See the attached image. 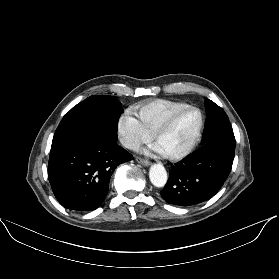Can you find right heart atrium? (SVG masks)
<instances>
[{
  "label": "right heart atrium",
  "instance_id": "obj_1",
  "mask_svg": "<svg viewBox=\"0 0 279 279\" xmlns=\"http://www.w3.org/2000/svg\"><path fill=\"white\" fill-rule=\"evenodd\" d=\"M116 130L122 145L132 151H138L144 144L152 140V135L129 110L123 111L118 117Z\"/></svg>",
  "mask_w": 279,
  "mask_h": 279
}]
</instances>
